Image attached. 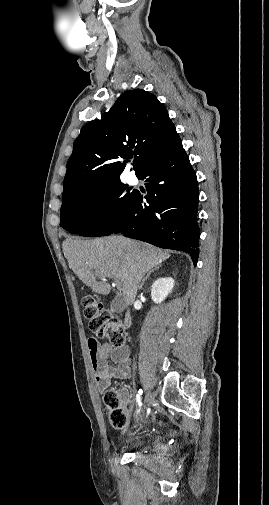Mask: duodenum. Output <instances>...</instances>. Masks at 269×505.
<instances>
[{"mask_svg": "<svg viewBox=\"0 0 269 505\" xmlns=\"http://www.w3.org/2000/svg\"><path fill=\"white\" fill-rule=\"evenodd\" d=\"M132 318L129 312L126 313L125 318H124V323L127 327L131 325Z\"/></svg>", "mask_w": 269, "mask_h": 505, "instance_id": "1", "label": "duodenum"}]
</instances>
